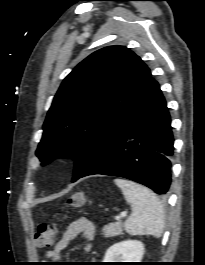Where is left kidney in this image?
Here are the masks:
<instances>
[{"label":"left kidney","instance_id":"5707ae66","mask_svg":"<svg viewBox=\"0 0 205 265\" xmlns=\"http://www.w3.org/2000/svg\"><path fill=\"white\" fill-rule=\"evenodd\" d=\"M144 252L141 241L129 239L110 246L103 262H141Z\"/></svg>","mask_w":205,"mask_h":265}]
</instances>
